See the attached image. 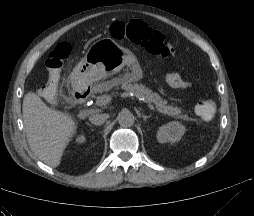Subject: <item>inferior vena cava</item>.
<instances>
[{
	"label": "inferior vena cava",
	"instance_id": "inferior-vena-cava-1",
	"mask_svg": "<svg viewBox=\"0 0 254 216\" xmlns=\"http://www.w3.org/2000/svg\"><path fill=\"white\" fill-rule=\"evenodd\" d=\"M108 118L105 113H93L90 115L89 120L94 125H102Z\"/></svg>",
	"mask_w": 254,
	"mask_h": 216
}]
</instances>
